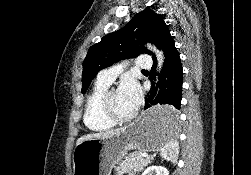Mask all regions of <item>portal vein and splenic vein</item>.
<instances>
[{
    "label": "portal vein and splenic vein",
    "mask_w": 251,
    "mask_h": 175,
    "mask_svg": "<svg viewBox=\"0 0 251 175\" xmlns=\"http://www.w3.org/2000/svg\"><path fill=\"white\" fill-rule=\"evenodd\" d=\"M141 155H143V157H146V153H141Z\"/></svg>",
    "instance_id": "18ae733b"
}]
</instances>
